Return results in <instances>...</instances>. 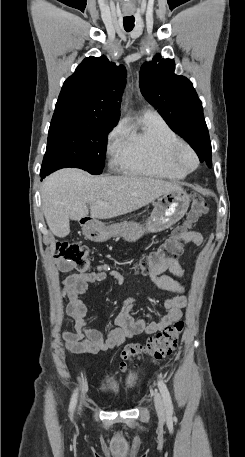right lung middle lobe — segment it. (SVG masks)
<instances>
[{"mask_svg":"<svg viewBox=\"0 0 245 457\" xmlns=\"http://www.w3.org/2000/svg\"><path fill=\"white\" fill-rule=\"evenodd\" d=\"M118 120L79 114H54L40 176L63 167H78L91 174L104 168L107 135Z\"/></svg>","mask_w":245,"mask_h":457,"instance_id":"dd1d6c3e","label":"right lung middle lobe"}]
</instances>
